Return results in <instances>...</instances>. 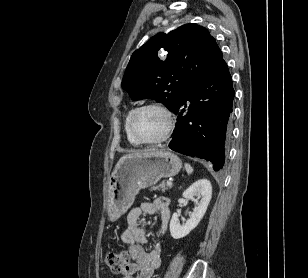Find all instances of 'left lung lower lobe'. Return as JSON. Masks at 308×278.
<instances>
[{"label":"left lung lower lobe","instance_id":"0a47b994","mask_svg":"<svg viewBox=\"0 0 308 278\" xmlns=\"http://www.w3.org/2000/svg\"><path fill=\"white\" fill-rule=\"evenodd\" d=\"M234 94L228 66L221 59L190 87L173 111L178 118L169 147L212 162L215 171L222 169L231 134Z\"/></svg>","mask_w":308,"mask_h":278}]
</instances>
